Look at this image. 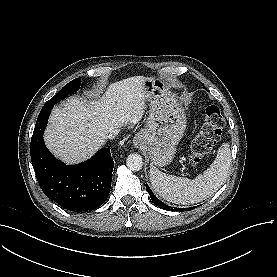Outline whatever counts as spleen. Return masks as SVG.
I'll list each match as a JSON object with an SVG mask.
<instances>
[{"label":"spleen","instance_id":"1","mask_svg":"<svg viewBox=\"0 0 277 277\" xmlns=\"http://www.w3.org/2000/svg\"><path fill=\"white\" fill-rule=\"evenodd\" d=\"M231 167V151L228 143L218 149L210 167L195 179L177 177L150 167V182L154 191L167 201L177 204H194L213 195L224 183Z\"/></svg>","mask_w":277,"mask_h":277}]
</instances>
